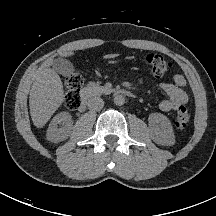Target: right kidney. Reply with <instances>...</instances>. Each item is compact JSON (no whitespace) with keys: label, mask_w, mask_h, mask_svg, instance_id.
<instances>
[{"label":"right kidney","mask_w":216,"mask_h":216,"mask_svg":"<svg viewBox=\"0 0 216 216\" xmlns=\"http://www.w3.org/2000/svg\"><path fill=\"white\" fill-rule=\"evenodd\" d=\"M62 123V127L58 128V124ZM73 120L68 112H61L57 114L49 124L47 130V140L57 143L66 140L72 130Z\"/></svg>","instance_id":"ca27d5eb"}]
</instances>
